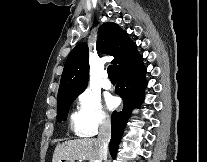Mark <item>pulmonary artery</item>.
<instances>
[{"mask_svg":"<svg viewBox=\"0 0 207 162\" xmlns=\"http://www.w3.org/2000/svg\"><path fill=\"white\" fill-rule=\"evenodd\" d=\"M101 86L106 90H109L112 87V84H111L110 80L108 79L106 72L102 73Z\"/></svg>","mask_w":207,"mask_h":162,"instance_id":"e3ab8cb5","label":"pulmonary artery"}]
</instances>
